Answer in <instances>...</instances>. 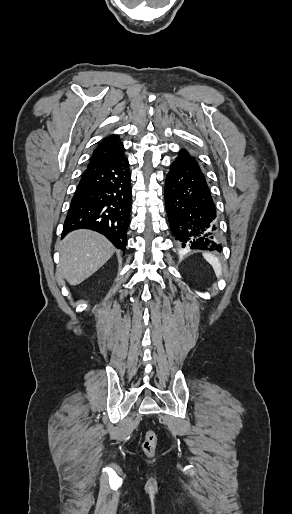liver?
Here are the masks:
<instances>
[{
  "instance_id": "1",
  "label": "liver",
  "mask_w": 292,
  "mask_h": 514,
  "mask_svg": "<svg viewBox=\"0 0 292 514\" xmlns=\"http://www.w3.org/2000/svg\"><path fill=\"white\" fill-rule=\"evenodd\" d=\"M59 252L58 272L61 278H65L70 286H77L104 266L115 248L102 234L75 230L60 242Z\"/></svg>"
}]
</instances>
